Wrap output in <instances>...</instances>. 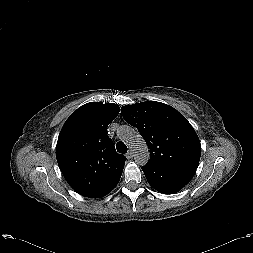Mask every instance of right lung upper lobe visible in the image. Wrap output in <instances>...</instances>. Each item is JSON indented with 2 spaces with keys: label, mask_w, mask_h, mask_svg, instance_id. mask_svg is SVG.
<instances>
[{
  "label": "right lung upper lobe",
  "mask_w": 253,
  "mask_h": 253,
  "mask_svg": "<svg viewBox=\"0 0 253 253\" xmlns=\"http://www.w3.org/2000/svg\"><path fill=\"white\" fill-rule=\"evenodd\" d=\"M119 113L115 104L90 102L64 123L56 158L69 185L80 195L99 198L120 181L126 157L118 154L107 127Z\"/></svg>",
  "instance_id": "1"
}]
</instances>
